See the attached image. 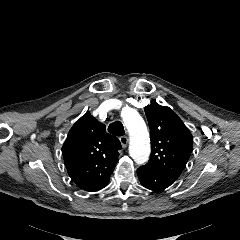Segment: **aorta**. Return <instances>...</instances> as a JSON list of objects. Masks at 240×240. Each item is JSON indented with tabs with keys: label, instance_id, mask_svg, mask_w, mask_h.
<instances>
[{
	"label": "aorta",
	"instance_id": "aorta-1",
	"mask_svg": "<svg viewBox=\"0 0 240 240\" xmlns=\"http://www.w3.org/2000/svg\"><path fill=\"white\" fill-rule=\"evenodd\" d=\"M122 117L130 135L129 154L137 164H144L150 155V139L146 124L134 109H127Z\"/></svg>",
	"mask_w": 240,
	"mask_h": 240
}]
</instances>
